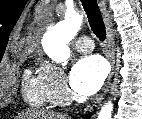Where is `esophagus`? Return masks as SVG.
I'll return each instance as SVG.
<instances>
[{"label":"esophagus","instance_id":"obj_1","mask_svg":"<svg viewBox=\"0 0 142 119\" xmlns=\"http://www.w3.org/2000/svg\"><path fill=\"white\" fill-rule=\"evenodd\" d=\"M99 6L103 15L105 27H106V57L108 58L110 64H111V71L110 74L104 84V87L102 88L101 92L96 96L95 102L100 103L106 93L108 92L111 80L115 73V47L113 42V32H112V20L110 18L109 11L106 8V3L103 0L99 1ZM89 110H92V106H89Z\"/></svg>","mask_w":142,"mask_h":119}]
</instances>
